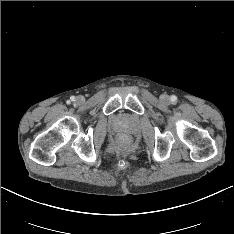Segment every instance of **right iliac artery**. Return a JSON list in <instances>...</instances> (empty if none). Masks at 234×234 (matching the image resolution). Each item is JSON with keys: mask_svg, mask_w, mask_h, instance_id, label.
Masks as SVG:
<instances>
[{"mask_svg": "<svg viewBox=\"0 0 234 234\" xmlns=\"http://www.w3.org/2000/svg\"><path fill=\"white\" fill-rule=\"evenodd\" d=\"M70 99H71V101H74L75 97L72 96Z\"/></svg>", "mask_w": 234, "mask_h": 234, "instance_id": "obj_1", "label": "right iliac artery"}]
</instances>
